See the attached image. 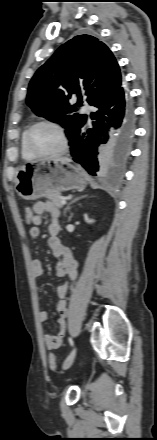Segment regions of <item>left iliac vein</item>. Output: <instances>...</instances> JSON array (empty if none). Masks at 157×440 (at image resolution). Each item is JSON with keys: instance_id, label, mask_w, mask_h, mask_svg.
<instances>
[{"instance_id": "1", "label": "left iliac vein", "mask_w": 157, "mask_h": 440, "mask_svg": "<svg viewBox=\"0 0 157 440\" xmlns=\"http://www.w3.org/2000/svg\"><path fill=\"white\" fill-rule=\"evenodd\" d=\"M75 355H76V349H73V351L70 353V355L66 358V360L63 363L64 370L68 369L72 365Z\"/></svg>"}]
</instances>
